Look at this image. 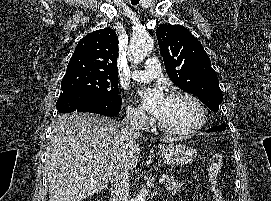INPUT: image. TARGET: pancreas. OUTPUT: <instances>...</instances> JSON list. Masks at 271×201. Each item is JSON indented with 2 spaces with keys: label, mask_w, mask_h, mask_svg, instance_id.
Segmentation results:
<instances>
[{
  "label": "pancreas",
  "mask_w": 271,
  "mask_h": 201,
  "mask_svg": "<svg viewBox=\"0 0 271 201\" xmlns=\"http://www.w3.org/2000/svg\"><path fill=\"white\" fill-rule=\"evenodd\" d=\"M166 190L176 193L179 188L183 187V183L175 180L173 177H166V183L164 185Z\"/></svg>",
  "instance_id": "obj_1"
}]
</instances>
